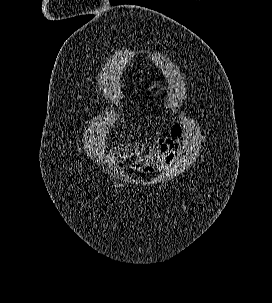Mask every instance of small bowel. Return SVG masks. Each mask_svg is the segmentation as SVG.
Returning <instances> with one entry per match:
<instances>
[{
    "mask_svg": "<svg viewBox=\"0 0 272 303\" xmlns=\"http://www.w3.org/2000/svg\"><path fill=\"white\" fill-rule=\"evenodd\" d=\"M184 144L181 126L175 125L171 136L158 139L155 146L148 148L143 142L120 144L112 151L111 158H136L131 169L138 166L170 168L180 158Z\"/></svg>",
    "mask_w": 272,
    "mask_h": 303,
    "instance_id": "c3829d8e",
    "label": "small bowel"
}]
</instances>
